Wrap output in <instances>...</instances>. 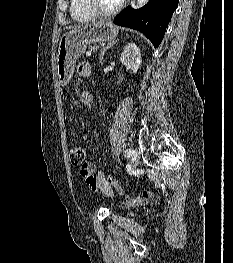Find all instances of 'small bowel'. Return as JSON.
<instances>
[{
  "label": "small bowel",
  "mask_w": 233,
  "mask_h": 263,
  "mask_svg": "<svg viewBox=\"0 0 233 263\" xmlns=\"http://www.w3.org/2000/svg\"><path fill=\"white\" fill-rule=\"evenodd\" d=\"M77 72L82 77H87L90 75L91 67L86 62H81L77 65ZM95 165L92 162H86V165L84 168L80 169L81 175L86 180V174L93 175L96 178V183L94 185L88 184L87 185L94 191H100V192H109L110 191V185L107 183L105 176L102 172H99L98 174H95Z\"/></svg>",
  "instance_id": "1"
}]
</instances>
